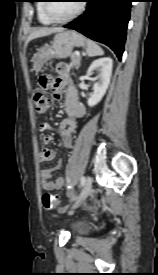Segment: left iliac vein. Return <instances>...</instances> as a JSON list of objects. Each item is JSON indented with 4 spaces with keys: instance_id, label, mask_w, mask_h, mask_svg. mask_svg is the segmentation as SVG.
<instances>
[{
    "instance_id": "obj_1",
    "label": "left iliac vein",
    "mask_w": 158,
    "mask_h": 275,
    "mask_svg": "<svg viewBox=\"0 0 158 275\" xmlns=\"http://www.w3.org/2000/svg\"><path fill=\"white\" fill-rule=\"evenodd\" d=\"M91 191H92V179H91L90 176H87L85 178V182H84V185H83L81 195H80L79 199L77 200V202L74 204L73 207L74 208L78 207L81 204V202L84 201L89 196Z\"/></svg>"
}]
</instances>
